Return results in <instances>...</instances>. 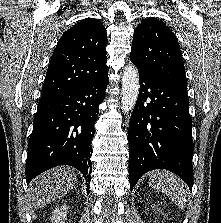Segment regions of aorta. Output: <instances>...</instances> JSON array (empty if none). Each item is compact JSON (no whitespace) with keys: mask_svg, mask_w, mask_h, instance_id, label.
Returning <instances> with one entry per match:
<instances>
[{"mask_svg":"<svg viewBox=\"0 0 221 223\" xmlns=\"http://www.w3.org/2000/svg\"><path fill=\"white\" fill-rule=\"evenodd\" d=\"M140 89L138 70L133 65L124 68L122 76L121 109L124 113L131 111L138 98Z\"/></svg>","mask_w":221,"mask_h":223,"instance_id":"obj_1","label":"aorta"}]
</instances>
